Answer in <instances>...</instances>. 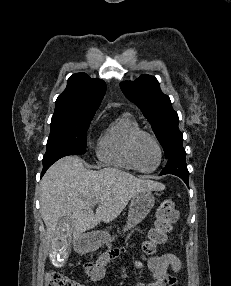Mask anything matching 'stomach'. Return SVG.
<instances>
[{"label":"stomach","instance_id":"1","mask_svg":"<svg viewBox=\"0 0 231 286\" xmlns=\"http://www.w3.org/2000/svg\"><path fill=\"white\" fill-rule=\"evenodd\" d=\"M155 204V198L151 191H142L131 198L128 218L124 231H127L139 223L149 214ZM114 237L107 231H94L82 235L75 242V249L80 253L94 251L105 244H109Z\"/></svg>","mask_w":231,"mask_h":286}]
</instances>
